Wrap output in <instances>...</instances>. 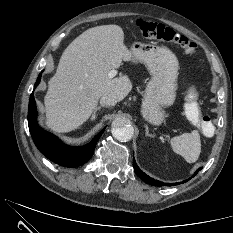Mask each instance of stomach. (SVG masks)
<instances>
[{
  "label": "stomach",
  "instance_id": "1",
  "mask_svg": "<svg viewBox=\"0 0 233 233\" xmlns=\"http://www.w3.org/2000/svg\"><path fill=\"white\" fill-rule=\"evenodd\" d=\"M134 62L146 65L151 79L147 83L142 103V116L153 125L165 119L164 107L174 103L179 63L175 54L166 47L135 42L131 46Z\"/></svg>",
  "mask_w": 233,
  "mask_h": 233
}]
</instances>
